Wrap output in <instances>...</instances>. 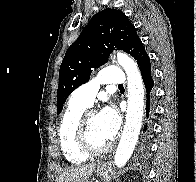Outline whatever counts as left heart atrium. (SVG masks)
<instances>
[{"instance_id":"obj_1","label":"left heart atrium","mask_w":196,"mask_h":182,"mask_svg":"<svg viewBox=\"0 0 196 182\" xmlns=\"http://www.w3.org/2000/svg\"><path fill=\"white\" fill-rule=\"evenodd\" d=\"M97 122L103 136L108 141L112 140L120 125V118L115 108L113 106L104 107L97 115Z\"/></svg>"}]
</instances>
